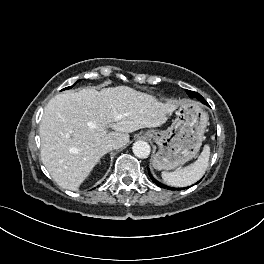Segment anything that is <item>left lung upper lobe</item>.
I'll return each instance as SVG.
<instances>
[{
	"instance_id": "obj_1",
	"label": "left lung upper lobe",
	"mask_w": 264,
	"mask_h": 264,
	"mask_svg": "<svg viewBox=\"0 0 264 264\" xmlns=\"http://www.w3.org/2000/svg\"><path fill=\"white\" fill-rule=\"evenodd\" d=\"M186 91H187V94H188L190 97H192L191 94H194L193 91H189V90H186Z\"/></svg>"
}]
</instances>
